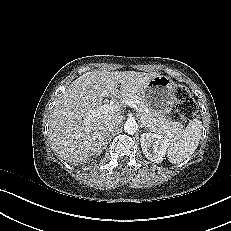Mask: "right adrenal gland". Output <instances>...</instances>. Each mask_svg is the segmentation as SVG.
Listing matches in <instances>:
<instances>
[{"mask_svg": "<svg viewBox=\"0 0 231 231\" xmlns=\"http://www.w3.org/2000/svg\"><path fill=\"white\" fill-rule=\"evenodd\" d=\"M109 135H110V133H108V134L106 135V137H105L104 148H106V145L108 144Z\"/></svg>", "mask_w": 231, "mask_h": 231, "instance_id": "right-adrenal-gland-1", "label": "right adrenal gland"}]
</instances>
